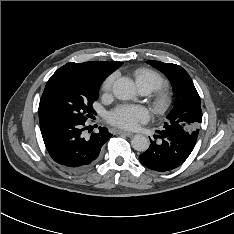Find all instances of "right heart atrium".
I'll return each instance as SVG.
<instances>
[{
    "instance_id": "d8ad5b80",
    "label": "right heart atrium",
    "mask_w": 234,
    "mask_h": 234,
    "mask_svg": "<svg viewBox=\"0 0 234 234\" xmlns=\"http://www.w3.org/2000/svg\"><path fill=\"white\" fill-rule=\"evenodd\" d=\"M114 80H115V75H110V76H108V77L104 80V82H103V84H102V90H103L104 92L110 91L111 88H112V85H113V83H114Z\"/></svg>"
}]
</instances>
